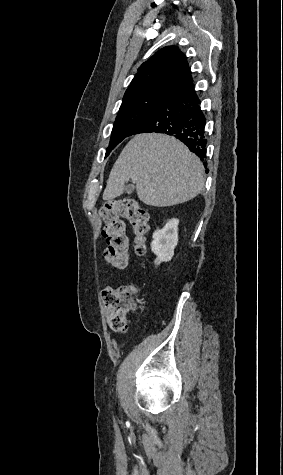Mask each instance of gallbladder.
Listing matches in <instances>:
<instances>
[{
  "label": "gallbladder",
  "mask_w": 283,
  "mask_h": 475,
  "mask_svg": "<svg viewBox=\"0 0 283 475\" xmlns=\"http://www.w3.org/2000/svg\"><path fill=\"white\" fill-rule=\"evenodd\" d=\"M134 190H135L134 184H127V186H125L126 194H132V192H134Z\"/></svg>",
  "instance_id": "gallbladder-1"
}]
</instances>
